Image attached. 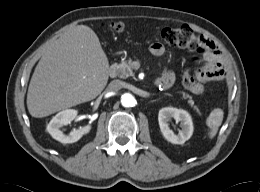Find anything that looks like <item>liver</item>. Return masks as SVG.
<instances>
[{
	"label": "liver",
	"instance_id": "obj_1",
	"mask_svg": "<svg viewBox=\"0 0 260 192\" xmlns=\"http://www.w3.org/2000/svg\"><path fill=\"white\" fill-rule=\"evenodd\" d=\"M109 62L96 33L79 25L55 40L32 75L27 108L42 118L96 98L108 81Z\"/></svg>",
	"mask_w": 260,
	"mask_h": 192
}]
</instances>
